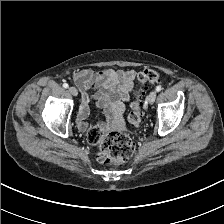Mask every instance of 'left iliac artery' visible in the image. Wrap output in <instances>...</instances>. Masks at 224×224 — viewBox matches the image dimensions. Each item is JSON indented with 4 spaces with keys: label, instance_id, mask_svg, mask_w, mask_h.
<instances>
[{
    "label": "left iliac artery",
    "instance_id": "1",
    "mask_svg": "<svg viewBox=\"0 0 224 224\" xmlns=\"http://www.w3.org/2000/svg\"><path fill=\"white\" fill-rule=\"evenodd\" d=\"M161 89H162L161 86H157V87H156V91H157V92H160Z\"/></svg>",
    "mask_w": 224,
    "mask_h": 224
}]
</instances>
